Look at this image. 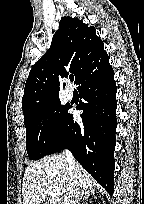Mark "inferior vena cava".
I'll use <instances>...</instances> for the list:
<instances>
[{"instance_id": "1", "label": "inferior vena cava", "mask_w": 144, "mask_h": 204, "mask_svg": "<svg viewBox=\"0 0 144 204\" xmlns=\"http://www.w3.org/2000/svg\"><path fill=\"white\" fill-rule=\"evenodd\" d=\"M66 160L69 164V175L71 180L74 178V171L77 168V163L69 150H66ZM74 189L70 192V195L65 198L64 204H78L80 198L81 186L77 180H73Z\"/></svg>"}]
</instances>
